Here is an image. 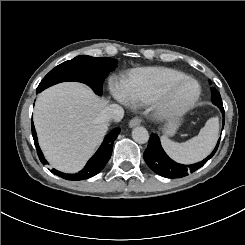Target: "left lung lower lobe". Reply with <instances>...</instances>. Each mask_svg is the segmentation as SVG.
Masks as SVG:
<instances>
[{
	"label": "left lung lower lobe",
	"mask_w": 245,
	"mask_h": 245,
	"mask_svg": "<svg viewBox=\"0 0 245 245\" xmlns=\"http://www.w3.org/2000/svg\"><path fill=\"white\" fill-rule=\"evenodd\" d=\"M211 83V82H210ZM211 100L213 104L217 105L224 118V108L222 107V99L220 93L215 89L212 88V97ZM224 123V120H223ZM220 139L215 147L214 151L206 157L201 162L191 164V165H183L174 162L170 159L167 154L164 152L160 139L157 134H151L147 149L145 150L143 157L147 165L151 170L155 173L167 177V178H182L188 176L190 173L198 170L202 167L211 157H213L214 153L217 151L219 146Z\"/></svg>",
	"instance_id": "obj_1"
}]
</instances>
